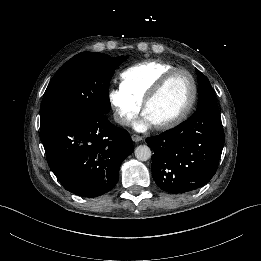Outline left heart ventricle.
Here are the masks:
<instances>
[{
    "instance_id": "left-heart-ventricle-1",
    "label": "left heart ventricle",
    "mask_w": 261,
    "mask_h": 261,
    "mask_svg": "<svg viewBox=\"0 0 261 261\" xmlns=\"http://www.w3.org/2000/svg\"><path fill=\"white\" fill-rule=\"evenodd\" d=\"M192 94L189 78L175 74L160 95L147 107L145 115L153 124L162 123L179 115Z\"/></svg>"
}]
</instances>
